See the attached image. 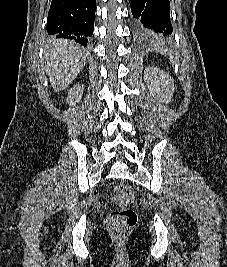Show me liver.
Listing matches in <instances>:
<instances>
[{
    "label": "liver",
    "instance_id": "obj_1",
    "mask_svg": "<svg viewBox=\"0 0 227 267\" xmlns=\"http://www.w3.org/2000/svg\"><path fill=\"white\" fill-rule=\"evenodd\" d=\"M45 70L56 92L65 90L83 69L86 56L80 45L51 39L44 50Z\"/></svg>",
    "mask_w": 227,
    "mask_h": 267
}]
</instances>
